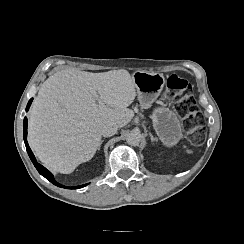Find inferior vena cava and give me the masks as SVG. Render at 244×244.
<instances>
[{
	"instance_id": "inferior-vena-cava-1",
	"label": "inferior vena cava",
	"mask_w": 244,
	"mask_h": 244,
	"mask_svg": "<svg viewBox=\"0 0 244 244\" xmlns=\"http://www.w3.org/2000/svg\"><path fill=\"white\" fill-rule=\"evenodd\" d=\"M117 130L118 125L115 122H109L101 128V134L103 136L108 137L114 135L117 132Z\"/></svg>"
}]
</instances>
